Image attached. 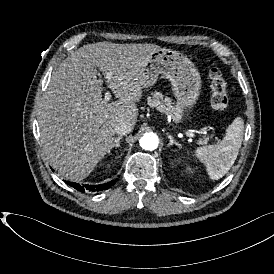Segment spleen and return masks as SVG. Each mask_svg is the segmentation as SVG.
<instances>
[{"label":"spleen","instance_id":"1","mask_svg":"<svg viewBox=\"0 0 274 274\" xmlns=\"http://www.w3.org/2000/svg\"><path fill=\"white\" fill-rule=\"evenodd\" d=\"M243 129V119L235 117L219 144L196 148L194 156L204 164L210 179L218 180L223 177L235 162L242 143Z\"/></svg>","mask_w":274,"mask_h":274}]
</instances>
